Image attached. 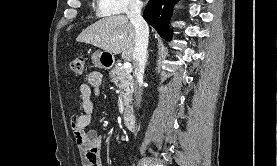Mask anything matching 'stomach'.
Masks as SVG:
<instances>
[{
  "instance_id": "obj_1",
  "label": "stomach",
  "mask_w": 277,
  "mask_h": 166,
  "mask_svg": "<svg viewBox=\"0 0 277 166\" xmlns=\"http://www.w3.org/2000/svg\"><path fill=\"white\" fill-rule=\"evenodd\" d=\"M92 62L98 68L107 69L114 63V56L111 53L97 50L92 54Z\"/></svg>"
}]
</instances>
